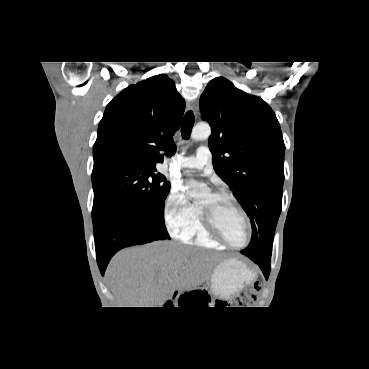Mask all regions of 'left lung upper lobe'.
Masks as SVG:
<instances>
[{"label":"left lung upper lobe","mask_w":369,"mask_h":369,"mask_svg":"<svg viewBox=\"0 0 369 369\" xmlns=\"http://www.w3.org/2000/svg\"><path fill=\"white\" fill-rule=\"evenodd\" d=\"M200 108L212 130L214 169L251 221V242L241 253L270 261L284 181L285 145L276 115L224 77L208 83Z\"/></svg>","instance_id":"left-lung-upper-lobe-1"}]
</instances>
